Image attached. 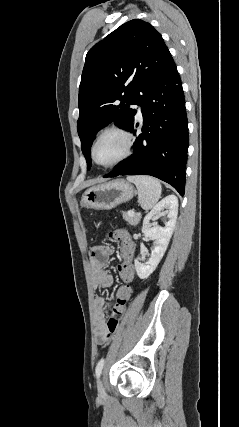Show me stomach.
I'll return each instance as SVG.
<instances>
[{"label":"stomach","instance_id":"obj_1","mask_svg":"<svg viewBox=\"0 0 239 427\" xmlns=\"http://www.w3.org/2000/svg\"><path fill=\"white\" fill-rule=\"evenodd\" d=\"M134 187L123 179L99 184L87 189L82 196V205L95 210H110L129 201L134 196Z\"/></svg>","mask_w":239,"mask_h":427}]
</instances>
